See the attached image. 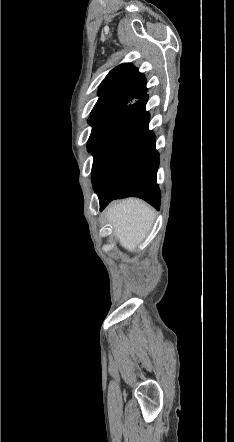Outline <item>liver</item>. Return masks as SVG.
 Segmentation results:
<instances>
[{
    "label": "liver",
    "mask_w": 234,
    "mask_h": 442,
    "mask_svg": "<svg viewBox=\"0 0 234 442\" xmlns=\"http://www.w3.org/2000/svg\"><path fill=\"white\" fill-rule=\"evenodd\" d=\"M115 236L122 247L134 251L149 233L154 222V210L137 198L113 202L106 212Z\"/></svg>",
    "instance_id": "1"
}]
</instances>
